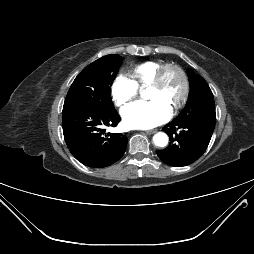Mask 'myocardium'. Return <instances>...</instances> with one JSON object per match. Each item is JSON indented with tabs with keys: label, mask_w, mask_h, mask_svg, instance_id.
<instances>
[{
	"label": "myocardium",
	"mask_w": 254,
	"mask_h": 254,
	"mask_svg": "<svg viewBox=\"0 0 254 254\" xmlns=\"http://www.w3.org/2000/svg\"><path fill=\"white\" fill-rule=\"evenodd\" d=\"M168 70L176 71L179 74L181 81H182L181 95H180L178 101L176 102V104L174 105L173 109L171 110L172 113H175L186 103L188 95H189L190 86H189V80H188V77H187L185 71L179 65L174 64V63L163 64L162 66H160L158 68L152 81L150 82V84L148 86H149V88L160 87L162 84L163 76H164L165 72Z\"/></svg>",
	"instance_id": "1"
}]
</instances>
